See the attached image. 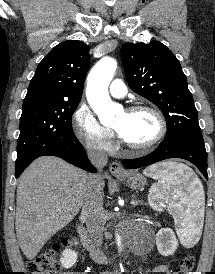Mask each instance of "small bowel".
Instances as JSON below:
<instances>
[{
	"instance_id": "c3829d8e",
	"label": "small bowel",
	"mask_w": 215,
	"mask_h": 274,
	"mask_svg": "<svg viewBox=\"0 0 215 274\" xmlns=\"http://www.w3.org/2000/svg\"><path fill=\"white\" fill-rule=\"evenodd\" d=\"M150 272L160 273V274H173V272L170 270V268L167 264L157 265L152 270H150ZM62 274H85V273H82V272H74V273L64 272ZM103 274H112V273H103Z\"/></svg>"
}]
</instances>
